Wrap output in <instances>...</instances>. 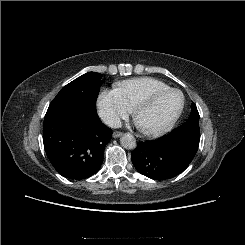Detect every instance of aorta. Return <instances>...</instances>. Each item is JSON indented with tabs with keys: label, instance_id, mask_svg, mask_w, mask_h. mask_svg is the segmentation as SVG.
Masks as SVG:
<instances>
[{
	"label": "aorta",
	"instance_id": "aorta-1",
	"mask_svg": "<svg viewBox=\"0 0 245 245\" xmlns=\"http://www.w3.org/2000/svg\"><path fill=\"white\" fill-rule=\"evenodd\" d=\"M120 143L125 149H134L136 147V139L130 133H125L120 138Z\"/></svg>",
	"mask_w": 245,
	"mask_h": 245
}]
</instances>
